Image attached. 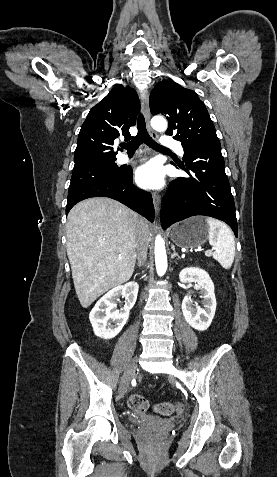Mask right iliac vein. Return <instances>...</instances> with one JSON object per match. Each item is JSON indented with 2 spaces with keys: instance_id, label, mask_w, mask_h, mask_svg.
Returning a JSON list of instances; mask_svg holds the SVG:
<instances>
[{
  "instance_id": "right-iliac-vein-1",
  "label": "right iliac vein",
  "mask_w": 277,
  "mask_h": 477,
  "mask_svg": "<svg viewBox=\"0 0 277 477\" xmlns=\"http://www.w3.org/2000/svg\"><path fill=\"white\" fill-rule=\"evenodd\" d=\"M137 363H138V358L135 357L130 361V363L126 367V370L123 374V377H122L121 383H120V387H119V393L121 395H124L126 393L128 387H129L130 381L135 374Z\"/></svg>"
}]
</instances>
